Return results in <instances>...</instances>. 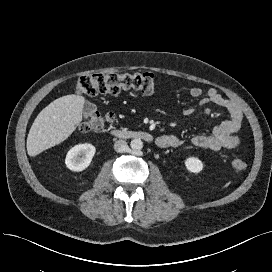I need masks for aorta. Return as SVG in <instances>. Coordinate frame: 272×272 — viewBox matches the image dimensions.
Segmentation results:
<instances>
[{
  "mask_svg": "<svg viewBox=\"0 0 272 272\" xmlns=\"http://www.w3.org/2000/svg\"><path fill=\"white\" fill-rule=\"evenodd\" d=\"M130 146H131V149L134 151V152H140L143 148V142L140 138H135L131 141L130 143Z\"/></svg>",
  "mask_w": 272,
  "mask_h": 272,
  "instance_id": "obj_1",
  "label": "aorta"
}]
</instances>
